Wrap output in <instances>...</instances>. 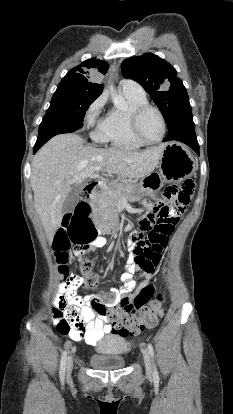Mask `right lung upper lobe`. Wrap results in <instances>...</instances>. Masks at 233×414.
<instances>
[{"label":"right lung upper lobe","instance_id":"right-lung-upper-lobe-1","mask_svg":"<svg viewBox=\"0 0 233 414\" xmlns=\"http://www.w3.org/2000/svg\"><path fill=\"white\" fill-rule=\"evenodd\" d=\"M108 68L109 65L105 61L96 60L95 58L88 59L77 67L71 69L60 83L81 90L101 94L104 87L103 84L94 83L90 81V79L98 73L105 74Z\"/></svg>","mask_w":233,"mask_h":414}]
</instances>
